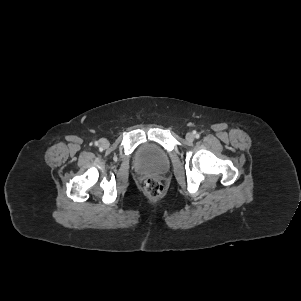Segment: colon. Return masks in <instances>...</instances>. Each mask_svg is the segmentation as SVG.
<instances>
[{
    "instance_id": "1",
    "label": "colon",
    "mask_w": 301,
    "mask_h": 301,
    "mask_svg": "<svg viewBox=\"0 0 301 301\" xmlns=\"http://www.w3.org/2000/svg\"><path fill=\"white\" fill-rule=\"evenodd\" d=\"M143 189L148 196L157 198L162 195L164 186L158 179L148 178L144 181Z\"/></svg>"
}]
</instances>
